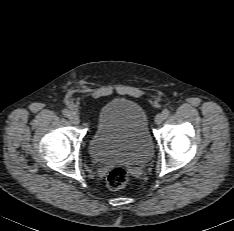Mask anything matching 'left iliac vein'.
Listing matches in <instances>:
<instances>
[{"label":"left iliac vein","instance_id":"left-iliac-vein-1","mask_svg":"<svg viewBox=\"0 0 234 231\" xmlns=\"http://www.w3.org/2000/svg\"><path fill=\"white\" fill-rule=\"evenodd\" d=\"M164 121V116L163 114H158L155 117V123L156 124H161Z\"/></svg>","mask_w":234,"mask_h":231}]
</instances>
